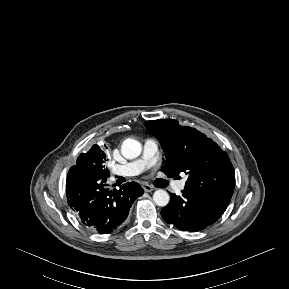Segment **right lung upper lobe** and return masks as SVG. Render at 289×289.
<instances>
[{
	"label": "right lung upper lobe",
	"instance_id": "obj_1",
	"mask_svg": "<svg viewBox=\"0 0 289 289\" xmlns=\"http://www.w3.org/2000/svg\"><path fill=\"white\" fill-rule=\"evenodd\" d=\"M107 148V147H106ZM97 150H101V148L97 145V144H95V145H93L91 148H90V150L87 152V153H85V154H81L80 155V158H82V157H90L91 155H93ZM104 150V149H103Z\"/></svg>",
	"mask_w": 289,
	"mask_h": 289
}]
</instances>
